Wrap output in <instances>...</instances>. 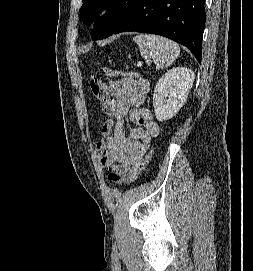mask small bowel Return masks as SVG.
I'll return each mask as SVG.
<instances>
[{"mask_svg":"<svg viewBox=\"0 0 253 271\" xmlns=\"http://www.w3.org/2000/svg\"><path fill=\"white\" fill-rule=\"evenodd\" d=\"M114 76L112 72H109ZM150 91L143 78L121 75L111 86L103 85L97 97L106 119L101 127V138L96 152L101 165L110 174L125 175L146 152L152 138L160 133L150 109L142 107ZM134 123L127 135L125 118Z\"/></svg>","mask_w":253,"mask_h":271,"instance_id":"small-bowel-1","label":"small bowel"}]
</instances>
